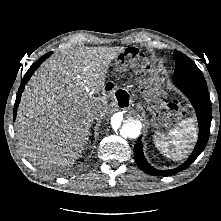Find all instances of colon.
Wrapping results in <instances>:
<instances>
[{
  "instance_id": "5ec220e1",
  "label": "colon",
  "mask_w": 221,
  "mask_h": 221,
  "mask_svg": "<svg viewBox=\"0 0 221 221\" xmlns=\"http://www.w3.org/2000/svg\"><path fill=\"white\" fill-rule=\"evenodd\" d=\"M140 59H141V57H140V54L137 50L127 51L126 54H125L124 62L127 65H130L133 61L140 60Z\"/></svg>"
}]
</instances>
